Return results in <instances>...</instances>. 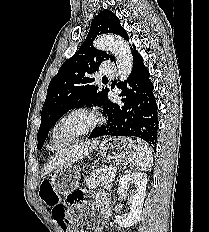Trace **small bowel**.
<instances>
[{"label": "small bowel", "instance_id": "1", "mask_svg": "<svg viewBox=\"0 0 209 232\" xmlns=\"http://www.w3.org/2000/svg\"><path fill=\"white\" fill-rule=\"evenodd\" d=\"M87 185H78V190H70V194H66L64 208L67 213H78L79 209L86 202ZM95 207L101 212L104 219H108L111 215L110 203L108 197L104 193H98L94 202ZM65 232H84L77 227L68 226L64 229ZM96 232H102L97 229Z\"/></svg>", "mask_w": 209, "mask_h": 232}]
</instances>
